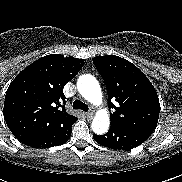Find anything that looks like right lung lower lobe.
Masks as SVG:
<instances>
[{
    "label": "right lung lower lobe",
    "mask_w": 182,
    "mask_h": 182,
    "mask_svg": "<svg viewBox=\"0 0 182 182\" xmlns=\"http://www.w3.org/2000/svg\"><path fill=\"white\" fill-rule=\"evenodd\" d=\"M71 131H72V125L68 126L63 130H59L51 135L31 140L24 144L37 148H47V147L62 145L66 143L70 138Z\"/></svg>",
    "instance_id": "obj_1"
}]
</instances>
